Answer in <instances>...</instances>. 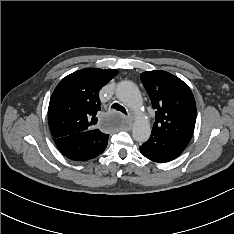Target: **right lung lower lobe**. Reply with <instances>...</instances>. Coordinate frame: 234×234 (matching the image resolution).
<instances>
[{"label":"right lung lower lobe","instance_id":"right-lung-lower-lobe-1","mask_svg":"<svg viewBox=\"0 0 234 234\" xmlns=\"http://www.w3.org/2000/svg\"><path fill=\"white\" fill-rule=\"evenodd\" d=\"M108 138V134L95 129L57 138L55 144L67 158L75 161H87L97 157L105 150Z\"/></svg>","mask_w":234,"mask_h":234}]
</instances>
